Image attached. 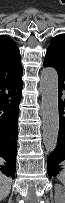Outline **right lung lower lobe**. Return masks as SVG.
I'll return each instance as SVG.
<instances>
[{"mask_svg": "<svg viewBox=\"0 0 65 203\" xmlns=\"http://www.w3.org/2000/svg\"><path fill=\"white\" fill-rule=\"evenodd\" d=\"M22 73L23 70L11 75H0V172L12 178L16 171Z\"/></svg>", "mask_w": 65, "mask_h": 203, "instance_id": "98d812e1", "label": "right lung lower lobe"}]
</instances>
